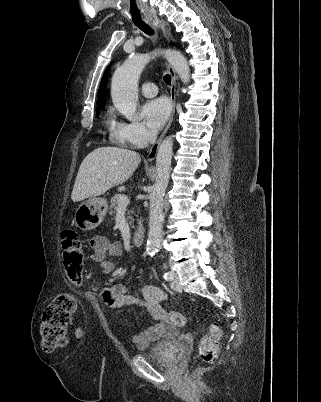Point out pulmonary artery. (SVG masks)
<instances>
[{
    "label": "pulmonary artery",
    "mask_w": 321,
    "mask_h": 402,
    "mask_svg": "<svg viewBox=\"0 0 321 402\" xmlns=\"http://www.w3.org/2000/svg\"><path fill=\"white\" fill-rule=\"evenodd\" d=\"M141 92L146 97H153V96L157 95L158 88L154 83L147 82V83L142 84Z\"/></svg>",
    "instance_id": "1"
}]
</instances>
